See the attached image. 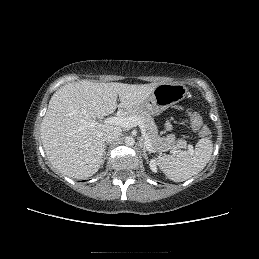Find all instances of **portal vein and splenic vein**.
Masks as SVG:
<instances>
[{"label":"portal vein and splenic vein","mask_w":259,"mask_h":259,"mask_svg":"<svg viewBox=\"0 0 259 259\" xmlns=\"http://www.w3.org/2000/svg\"><path fill=\"white\" fill-rule=\"evenodd\" d=\"M105 124L108 125H117L123 128H132L139 126L141 129L142 136L144 138L145 146L148 148L149 151H153L151 142L148 138L145 125L143 121L136 116H131V117H125V116H117V117H109L104 121ZM84 124L88 125L89 127H93L96 124H99L97 121H91V122H86L84 121ZM190 149L192 150V146H190Z\"/></svg>","instance_id":"portal-vein-and-splenic-vein-1"}]
</instances>
